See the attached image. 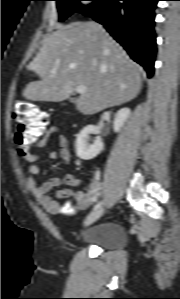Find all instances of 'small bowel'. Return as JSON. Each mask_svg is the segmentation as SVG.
<instances>
[{
	"mask_svg": "<svg viewBox=\"0 0 180 299\" xmlns=\"http://www.w3.org/2000/svg\"><path fill=\"white\" fill-rule=\"evenodd\" d=\"M52 135L60 136L59 148L56 151H49L46 154V157L51 160L59 158L64 163H69L71 154L68 148V140L64 135H62L60 129L56 126H50L46 128L33 144V149L43 148L46 145L48 138ZM21 156L24 160L30 162V176L27 178V186L29 190L37 199L39 204L45 209V211L51 214L56 213L59 209V206L56 202L52 201L47 194L51 190L60 186L61 178L57 176L51 177L41 185H38L34 179V176L40 173V167L36 162L39 161L41 157L30 153L21 154ZM65 183L67 184V188L60 190L58 195L63 198L74 197L80 208H85L95 201L100 186L98 174H96L95 178L91 181L86 191L75 192L73 190V188L77 187L80 183L79 178H77L75 175L67 174L65 176Z\"/></svg>",
	"mask_w": 180,
	"mask_h": 299,
	"instance_id": "c3829d8e",
	"label": "small bowel"
}]
</instances>
